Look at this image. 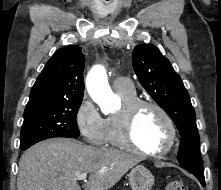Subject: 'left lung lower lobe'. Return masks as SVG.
Wrapping results in <instances>:
<instances>
[{
    "label": "left lung lower lobe",
    "instance_id": "obj_1",
    "mask_svg": "<svg viewBox=\"0 0 221 190\" xmlns=\"http://www.w3.org/2000/svg\"><path fill=\"white\" fill-rule=\"evenodd\" d=\"M202 184V186H205V180H204V175H198V174H194L192 173Z\"/></svg>",
    "mask_w": 221,
    "mask_h": 190
}]
</instances>
